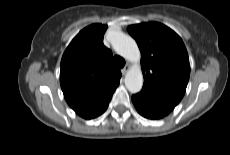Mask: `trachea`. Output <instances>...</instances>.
Masks as SVG:
<instances>
[{
    "label": "trachea",
    "mask_w": 230,
    "mask_h": 155,
    "mask_svg": "<svg viewBox=\"0 0 230 155\" xmlns=\"http://www.w3.org/2000/svg\"><path fill=\"white\" fill-rule=\"evenodd\" d=\"M113 61L117 68H123L125 65V60L118 55L114 56Z\"/></svg>",
    "instance_id": "obj_1"
}]
</instances>
